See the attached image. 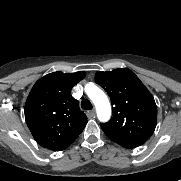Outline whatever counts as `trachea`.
<instances>
[{
    "label": "trachea",
    "mask_w": 181,
    "mask_h": 181,
    "mask_svg": "<svg viewBox=\"0 0 181 181\" xmlns=\"http://www.w3.org/2000/svg\"><path fill=\"white\" fill-rule=\"evenodd\" d=\"M81 107L84 110H90V109H92V104H91V102L89 100L84 99L81 102Z\"/></svg>",
    "instance_id": "trachea-1"
}]
</instances>
